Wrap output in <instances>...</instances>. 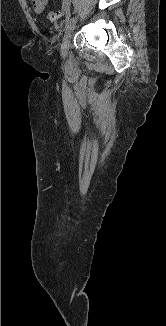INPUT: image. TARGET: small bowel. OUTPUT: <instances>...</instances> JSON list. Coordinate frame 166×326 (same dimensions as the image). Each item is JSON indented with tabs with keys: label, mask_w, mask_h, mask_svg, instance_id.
Instances as JSON below:
<instances>
[{
	"label": "small bowel",
	"mask_w": 166,
	"mask_h": 326,
	"mask_svg": "<svg viewBox=\"0 0 166 326\" xmlns=\"http://www.w3.org/2000/svg\"><path fill=\"white\" fill-rule=\"evenodd\" d=\"M33 10L37 14H41L45 11L49 0H30Z\"/></svg>",
	"instance_id": "1"
}]
</instances>
